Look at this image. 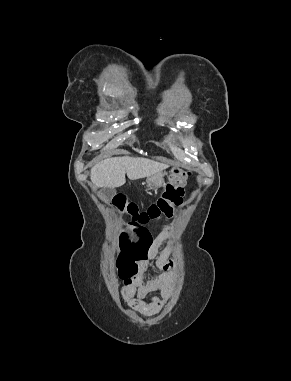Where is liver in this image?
Here are the masks:
<instances>
[{"instance_id": "liver-1", "label": "liver", "mask_w": 291, "mask_h": 381, "mask_svg": "<svg viewBox=\"0 0 291 381\" xmlns=\"http://www.w3.org/2000/svg\"><path fill=\"white\" fill-rule=\"evenodd\" d=\"M168 165L140 157H111L94 165L90 179L99 188H116L125 184V174L130 180L161 173Z\"/></svg>"}]
</instances>
